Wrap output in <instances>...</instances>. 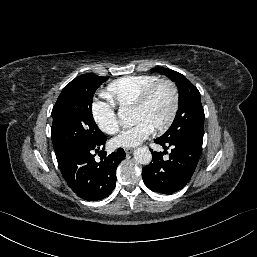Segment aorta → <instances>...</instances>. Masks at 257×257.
<instances>
[{
    "label": "aorta",
    "mask_w": 257,
    "mask_h": 257,
    "mask_svg": "<svg viewBox=\"0 0 257 257\" xmlns=\"http://www.w3.org/2000/svg\"><path fill=\"white\" fill-rule=\"evenodd\" d=\"M118 117L122 124L124 125L129 124L128 112L126 109H119ZM134 159L136 160V162L142 165H148L152 160V155L149 149L145 147H140L134 151Z\"/></svg>",
    "instance_id": "obj_1"
}]
</instances>
